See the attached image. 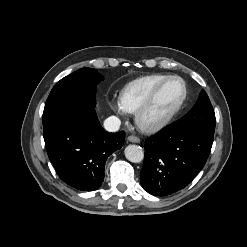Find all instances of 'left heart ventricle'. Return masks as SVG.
Instances as JSON below:
<instances>
[{
  "label": "left heart ventricle",
  "instance_id": "1",
  "mask_svg": "<svg viewBox=\"0 0 247 247\" xmlns=\"http://www.w3.org/2000/svg\"><path fill=\"white\" fill-rule=\"evenodd\" d=\"M184 87L179 80L169 81L157 95L153 105L146 114L147 120H156L172 111L181 100Z\"/></svg>",
  "mask_w": 247,
  "mask_h": 247
}]
</instances>
